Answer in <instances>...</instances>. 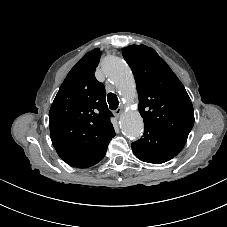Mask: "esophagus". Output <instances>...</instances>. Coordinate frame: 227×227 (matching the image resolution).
<instances>
[{
  "instance_id": "obj_1",
  "label": "esophagus",
  "mask_w": 227,
  "mask_h": 227,
  "mask_svg": "<svg viewBox=\"0 0 227 227\" xmlns=\"http://www.w3.org/2000/svg\"><path fill=\"white\" fill-rule=\"evenodd\" d=\"M121 114H122V109H116V110L114 111V115H115L117 118H119Z\"/></svg>"
}]
</instances>
